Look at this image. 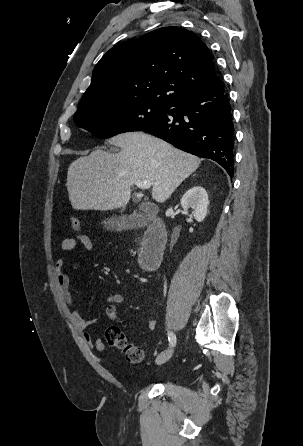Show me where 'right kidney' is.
<instances>
[{
	"mask_svg": "<svg viewBox=\"0 0 303 446\" xmlns=\"http://www.w3.org/2000/svg\"><path fill=\"white\" fill-rule=\"evenodd\" d=\"M209 199L206 190L201 186L189 189L181 198V206L187 211L192 209V214L198 222H202L208 212Z\"/></svg>",
	"mask_w": 303,
	"mask_h": 446,
	"instance_id": "1",
	"label": "right kidney"
}]
</instances>
